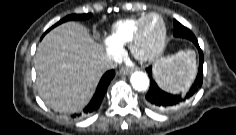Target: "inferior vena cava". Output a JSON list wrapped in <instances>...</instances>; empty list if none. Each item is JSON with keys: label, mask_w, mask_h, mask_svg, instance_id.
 Segmentation results:
<instances>
[{"label": "inferior vena cava", "mask_w": 236, "mask_h": 135, "mask_svg": "<svg viewBox=\"0 0 236 135\" xmlns=\"http://www.w3.org/2000/svg\"><path fill=\"white\" fill-rule=\"evenodd\" d=\"M117 66V62H115L113 59L107 57V59L104 61V67L106 70L114 69Z\"/></svg>", "instance_id": "inferior-vena-cava-1"}]
</instances>
